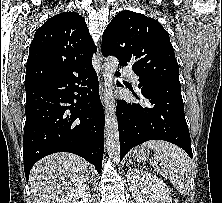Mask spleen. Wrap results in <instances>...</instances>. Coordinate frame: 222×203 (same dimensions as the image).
<instances>
[{"label": "spleen", "instance_id": "obj_1", "mask_svg": "<svg viewBox=\"0 0 222 203\" xmlns=\"http://www.w3.org/2000/svg\"><path fill=\"white\" fill-rule=\"evenodd\" d=\"M142 147L154 149L152 160L154 159V163L161 162V166L155 167V170L164 178H168L181 194H185L190 186L192 161L184 150L163 140H150Z\"/></svg>", "mask_w": 222, "mask_h": 203}]
</instances>
